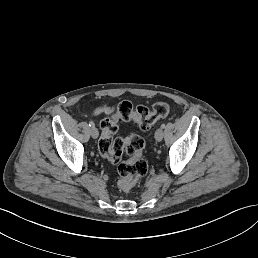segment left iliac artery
<instances>
[{
	"mask_svg": "<svg viewBox=\"0 0 258 258\" xmlns=\"http://www.w3.org/2000/svg\"><path fill=\"white\" fill-rule=\"evenodd\" d=\"M165 126H166L165 123H162V124H161V128H162V129H164Z\"/></svg>",
	"mask_w": 258,
	"mask_h": 258,
	"instance_id": "left-iliac-artery-1",
	"label": "left iliac artery"
}]
</instances>
